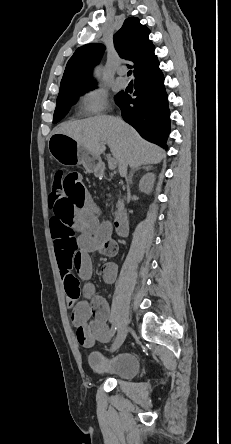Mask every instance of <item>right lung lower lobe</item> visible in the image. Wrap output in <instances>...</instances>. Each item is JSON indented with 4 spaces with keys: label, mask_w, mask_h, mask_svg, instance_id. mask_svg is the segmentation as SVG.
I'll list each match as a JSON object with an SVG mask.
<instances>
[{
    "label": "right lung lower lobe",
    "mask_w": 231,
    "mask_h": 444,
    "mask_svg": "<svg viewBox=\"0 0 231 444\" xmlns=\"http://www.w3.org/2000/svg\"><path fill=\"white\" fill-rule=\"evenodd\" d=\"M134 88L136 98L121 94L116 101L123 119L143 138L168 149L166 141L170 133V111L159 65L136 77Z\"/></svg>",
    "instance_id": "obj_1"
}]
</instances>
